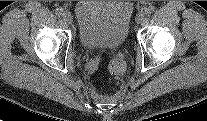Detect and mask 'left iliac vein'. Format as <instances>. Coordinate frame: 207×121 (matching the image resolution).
I'll list each match as a JSON object with an SVG mask.
<instances>
[{
    "label": "left iliac vein",
    "mask_w": 207,
    "mask_h": 121,
    "mask_svg": "<svg viewBox=\"0 0 207 121\" xmlns=\"http://www.w3.org/2000/svg\"><path fill=\"white\" fill-rule=\"evenodd\" d=\"M145 19V15L143 12H139L136 16V23L141 24Z\"/></svg>",
    "instance_id": "obj_1"
}]
</instances>
